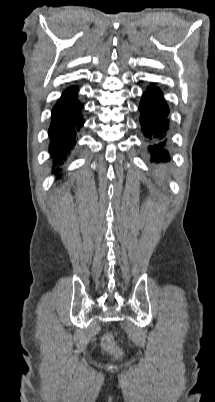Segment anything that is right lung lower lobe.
<instances>
[{
	"label": "right lung lower lobe",
	"instance_id": "1",
	"mask_svg": "<svg viewBox=\"0 0 215 402\" xmlns=\"http://www.w3.org/2000/svg\"><path fill=\"white\" fill-rule=\"evenodd\" d=\"M78 88H67L52 109L49 127V153L53 158V168L61 165L75 145L76 132L84 124L83 104L77 98Z\"/></svg>",
	"mask_w": 215,
	"mask_h": 402
}]
</instances>
